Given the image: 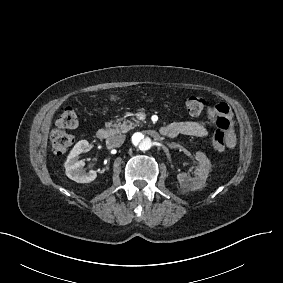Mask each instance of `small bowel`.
Instances as JSON below:
<instances>
[{
	"instance_id": "obj_1",
	"label": "small bowel",
	"mask_w": 283,
	"mask_h": 283,
	"mask_svg": "<svg viewBox=\"0 0 283 283\" xmlns=\"http://www.w3.org/2000/svg\"><path fill=\"white\" fill-rule=\"evenodd\" d=\"M232 107L225 101L220 100L215 106H210L207 109V117L210 121H215L218 115L223 116L226 122H231L233 120V115L231 114ZM169 133L170 137L177 135H186L194 137H206L208 135L207 127L197 121H183L169 124L165 127ZM236 145V136L234 130L231 129L226 139L225 147L227 149H233Z\"/></svg>"
}]
</instances>
